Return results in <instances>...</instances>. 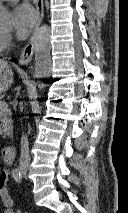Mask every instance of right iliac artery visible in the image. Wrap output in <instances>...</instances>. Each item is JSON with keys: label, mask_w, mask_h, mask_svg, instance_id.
I'll list each match as a JSON object with an SVG mask.
<instances>
[{"label": "right iliac artery", "mask_w": 128, "mask_h": 213, "mask_svg": "<svg viewBox=\"0 0 128 213\" xmlns=\"http://www.w3.org/2000/svg\"><path fill=\"white\" fill-rule=\"evenodd\" d=\"M12 177L16 182H21L22 181V174L18 168L13 169L12 171Z\"/></svg>", "instance_id": "right-iliac-artery-1"}]
</instances>
